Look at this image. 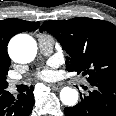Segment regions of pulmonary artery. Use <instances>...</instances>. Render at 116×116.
<instances>
[{
  "mask_svg": "<svg viewBox=\"0 0 116 116\" xmlns=\"http://www.w3.org/2000/svg\"><path fill=\"white\" fill-rule=\"evenodd\" d=\"M37 40H38L39 50L42 54L50 55L53 52L55 45V41L53 37L49 35H38ZM19 83L20 82L17 80H10L9 81L10 91L13 92Z\"/></svg>",
  "mask_w": 116,
  "mask_h": 116,
  "instance_id": "e3ab8cb5",
  "label": "pulmonary artery"
}]
</instances>
